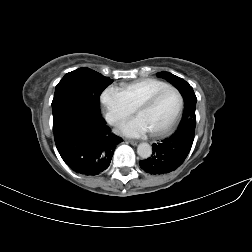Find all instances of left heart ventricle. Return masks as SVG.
<instances>
[{
  "label": "left heart ventricle",
  "mask_w": 252,
  "mask_h": 252,
  "mask_svg": "<svg viewBox=\"0 0 252 252\" xmlns=\"http://www.w3.org/2000/svg\"><path fill=\"white\" fill-rule=\"evenodd\" d=\"M178 103L177 94L173 91H167L160 95L152 105L140 109L137 116L142 119L148 131L158 130L170 121Z\"/></svg>",
  "instance_id": "obj_1"
}]
</instances>
